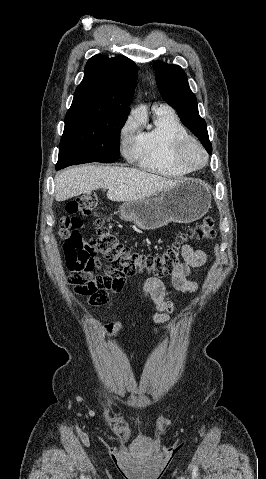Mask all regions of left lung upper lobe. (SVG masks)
<instances>
[{
    "label": "left lung upper lobe",
    "mask_w": 266,
    "mask_h": 479,
    "mask_svg": "<svg viewBox=\"0 0 266 479\" xmlns=\"http://www.w3.org/2000/svg\"><path fill=\"white\" fill-rule=\"evenodd\" d=\"M156 83L162 98L174 107L182 123L200 140L209 154L212 145L209 141L207 125L199 116L197 99L190 90L187 76L178 65L155 62Z\"/></svg>",
    "instance_id": "obj_1"
}]
</instances>
